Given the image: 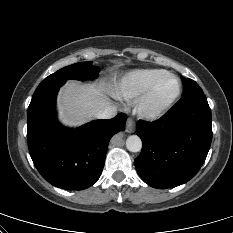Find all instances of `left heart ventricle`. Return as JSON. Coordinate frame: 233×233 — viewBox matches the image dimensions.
Returning a JSON list of instances; mask_svg holds the SVG:
<instances>
[{"label":"left heart ventricle","instance_id":"left-heart-ventricle-1","mask_svg":"<svg viewBox=\"0 0 233 233\" xmlns=\"http://www.w3.org/2000/svg\"><path fill=\"white\" fill-rule=\"evenodd\" d=\"M176 90V83L170 77L164 78L158 85L154 97L153 104L158 105L167 100Z\"/></svg>","mask_w":233,"mask_h":233}]
</instances>
